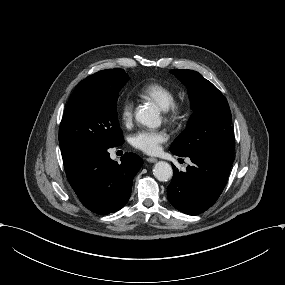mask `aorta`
<instances>
[{"label":"aorta","mask_w":285,"mask_h":285,"mask_svg":"<svg viewBox=\"0 0 285 285\" xmlns=\"http://www.w3.org/2000/svg\"><path fill=\"white\" fill-rule=\"evenodd\" d=\"M135 117L140 124L149 128H156L161 124L158 109L151 105L138 108ZM153 174L159 181L167 182L173 176V169L169 163L159 161L154 166Z\"/></svg>","instance_id":"1"}]
</instances>
